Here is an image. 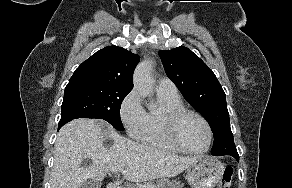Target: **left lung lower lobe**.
I'll list each match as a JSON object with an SVG mask.
<instances>
[{
	"label": "left lung lower lobe",
	"mask_w": 292,
	"mask_h": 188,
	"mask_svg": "<svg viewBox=\"0 0 292 188\" xmlns=\"http://www.w3.org/2000/svg\"><path fill=\"white\" fill-rule=\"evenodd\" d=\"M222 155H230V156L234 157L237 161H239V155L237 153V150L224 152Z\"/></svg>",
	"instance_id": "1"
}]
</instances>
